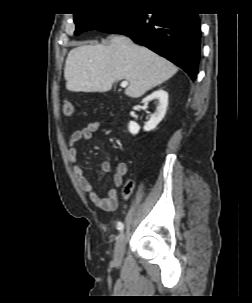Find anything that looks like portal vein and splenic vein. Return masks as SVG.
<instances>
[{
    "mask_svg": "<svg viewBox=\"0 0 252 303\" xmlns=\"http://www.w3.org/2000/svg\"><path fill=\"white\" fill-rule=\"evenodd\" d=\"M120 85L121 87L125 88L128 86V81H122Z\"/></svg>",
    "mask_w": 252,
    "mask_h": 303,
    "instance_id": "18ae733b",
    "label": "portal vein and splenic vein"
}]
</instances>
